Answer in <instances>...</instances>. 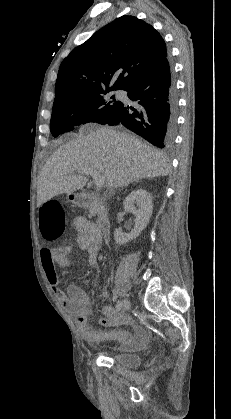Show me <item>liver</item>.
<instances>
[{
  "instance_id": "1",
  "label": "liver",
  "mask_w": 231,
  "mask_h": 419,
  "mask_svg": "<svg viewBox=\"0 0 231 419\" xmlns=\"http://www.w3.org/2000/svg\"><path fill=\"white\" fill-rule=\"evenodd\" d=\"M85 131L60 146L42 168L37 182L38 206L59 194L83 189L87 178L76 174L82 169H94L104 176L108 189L169 173L164 155L134 135L109 127Z\"/></svg>"
}]
</instances>
